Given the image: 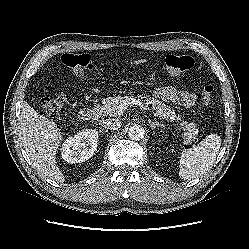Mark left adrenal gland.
<instances>
[{
	"label": "left adrenal gland",
	"mask_w": 249,
	"mask_h": 249,
	"mask_svg": "<svg viewBox=\"0 0 249 249\" xmlns=\"http://www.w3.org/2000/svg\"><path fill=\"white\" fill-rule=\"evenodd\" d=\"M149 124L153 129H155L156 127H164V124H161L157 121H151L150 119H149Z\"/></svg>",
	"instance_id": "left-adrenal-gland-1"
}]
</instances>
